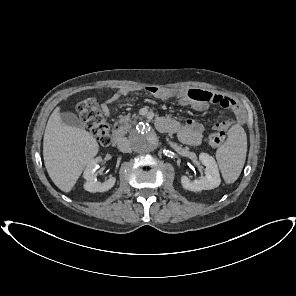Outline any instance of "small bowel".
I'll list each match as a JSON object with an SVG mask.
<instances>
[{
	"instance_id": "c3829d8e",
	"label": "small bowel",
	"mask_w": 296,
	"mask_h": 296,
	"mask_svg": "<svg viewBox=\"0 0 296 296\" xmlns=\"http://www.w3.org/2000/svg\"><path fill=\"white\" fill-rule=\"evenodd\" d=\"M147 90L163 100L176 99L179 104L188 106L196 111H204L208 109L210 105H218L233 112V117H229L214 123L212 125L213 129H228L230 126L237 123H243L245 120V114L242 107L237 101L227 96H222L207 90L194 88L159 89L156 87H148ZM131 91L132 90L130 88H121L118 92L112 94L103 104V112L108 114L109 105L120 100L121 97L128 95ZM160 119L172 122L173 129L170 132H177L179 139L187 145H199L202 141L205 131L207 130V126L204 123H201L195 119H188L183 125L169 117H163Z\"/></svg>"
}]
</instances>
